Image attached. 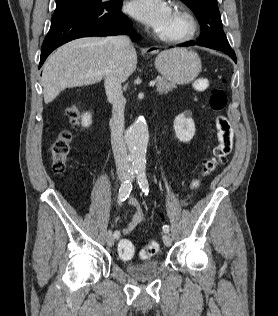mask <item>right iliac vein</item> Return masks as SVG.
I'll list each match as a JSON object with an SVG mask.
<instances>
[{
  "instance_id": "right-iliac-vein-1",
  "label": "right iliac vein",
  "mask_w": 278,
  "mask_h": 316,
  "mask_svg": "<svg viewBox=\"0 0 278 316\" xmlns=\"http://www.w3.org/2000/svg\"><path fill=\"white\" fill-rule=\"evenodd\" d=\"M126 176H127V175H126L125 173H120V174L118 175L119 181H124V180L126 179ZM106 242H107V245H108L109 247H112V246L114 245V243H115V238H114V236L112 235V232H111V231H109V232L107 233Z\"/></svg>"
}]
</instances>
